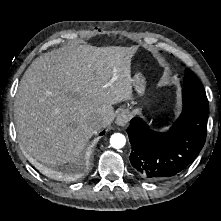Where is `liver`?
<instances>
[{
	"mask_svg": "<svg viewBox=\"0 0 221 221\" xmlns=\"http://www.w3.org/2000/svg\"><path fill=\"white\" fill-rule=\"evenodd\" d=\"M137 50L80 45L34 60L14 102L25 155L51 166L79 156L98 131L90 127L91 118L101 116L106 127L114 119L112 105L132 99L131 59Z\"/></svg>",
	"mask_w": 221,
	"mask_h": 221,
	"instance_id": "liver-1",
	"label": "liver"
}]
</instances>
